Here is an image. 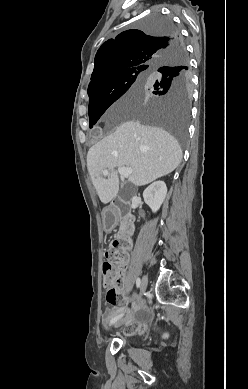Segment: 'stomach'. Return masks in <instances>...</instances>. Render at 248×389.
I'll return each instance as SVG.
<instances>
[{
	"label": "stomach",
	"instance_id": "obj_1",
	"mask_svg": "<svg viewBox=\"0 0 248 389\" xmlns=\"http://www.w3.org/2000/svg\"><path fill=\"white\" fill-rule=\"evenodd\" d=\"M103 218H104L105 220H114L115 215H114V213H105V214L103 215Z\"/></svg>",
	"mask_w": 248,
	"mask_h": 389
}]
</instances>
